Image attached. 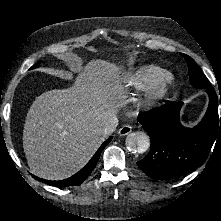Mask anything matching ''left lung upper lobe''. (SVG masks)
<instances>
[{"label": "left lung upper lobe", "instance_id": "obj_1", "mask_svg": "<svg viewBox=\"0 0 221 221\" xmlns=\"http://www.w3.org/2000/svg\"><path fill=\"white\" fill-rule=\"evenodd\" d=\"M188 63V74L190 76V83L194 87L208 89L212 87L209 80L202 73L200 67L196 64V62L189 57L188 55L181 54Z\"/></svg>", "mask_w": 221, "mask_h": 221}]
</instances>
